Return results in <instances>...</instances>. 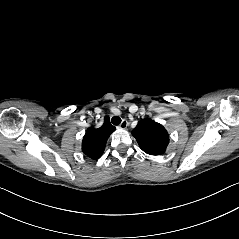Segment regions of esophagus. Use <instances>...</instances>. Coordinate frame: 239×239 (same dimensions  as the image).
Returning <instances> with one entry per match:
<instances>
[{
	"mask_svg": "<svg viewBox=\"0 0 239 239\" xmlns=\"http://www.w3.org/2000/svg\"><path fill=\"white\" fill-rule=\"evenodd\" d=\"M127 126H128L127 120L123 119L122 122L120 123V125L118 126V128H120V129H126Z\"/></svg>",
	"mask_w": 239,
	"mask_h": 239,
	"instance_id": "esophagus-1",
	"label": "esophagus"
}]
</instances>
